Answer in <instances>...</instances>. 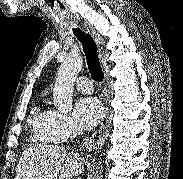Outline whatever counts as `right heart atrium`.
I'll return each instance as SVG.
<instances>
[{
  "instance_id": "1",
  "label": "right heart atrium",
  "mask_w": 183,
  "mask_h": 179,
  "mask_svg": "<svg viewBox=\"0 0 183 179\" xmlns=\"http://www.w3.org/2000/svg\"><path fill=\"white\" fill-rule=\"evenodd\" d=\"M46 128L50 137L55 140H60L75 130L72 119L56 110H51Z\"/></svg>"
}]
</instances>
